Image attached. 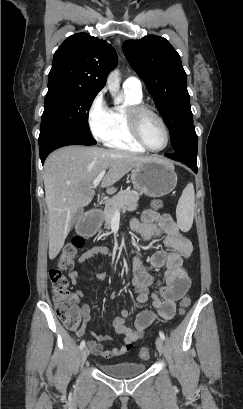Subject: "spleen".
<instances>
[{"label":"spleen","mask_w":243,"mask_h":409,"mask_svg":"<svg viewBox=\"0 0 243 409\" xmlns=\"http://www.w3.org/2000/svg\"><path fill=\"white\" fill-rule=\"evenodd\" d=\"M195 191L192 183L184 188L176 208L177 223L182 231H189L193 224Z\"/></svg>","instance_id":"obj_1"}]
</instances>
